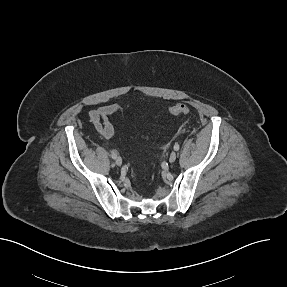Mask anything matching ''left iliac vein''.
<instances>
[{"label": "left iliac vein", "instance_id": "obj_1", "mask_svg": "<svg viewBox=\"0 0 287 287\" xmlns=\"http://www.w3.org/2000/svg\"><path fill=\"white\" fill-rule=\"evenodd\" d=\"M176 158H177L176 152H172V153L170 154V157H169V162H170V163H173V162L176 160Z\"/></svg>", "mask_w": 287, "mask_h": 287}]
</instances>
